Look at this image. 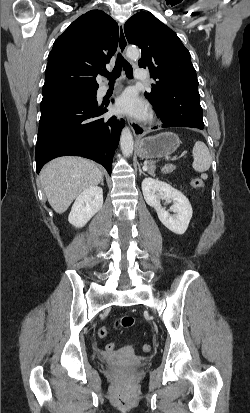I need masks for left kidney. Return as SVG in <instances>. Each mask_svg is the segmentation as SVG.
Masks as SVG:
<instances>
[{
  "instance_id": "obj_1",
  "label": "left kidney",
  "mask_w": 250,
  "mask_h": 413,
  "mask_svg": "<svg viewBox=\"0 0 250 413\" xmlns=\"http://www.w3.org/2000/svg\"><path fill=\"white\" fill-rule=\"evenodd\" d=\"M142 192L146 203L155 209L159 220L166 228L179 235L186 232L192 217V207L182 192L153 178H145L142 181ZM161 199L173 201L170 210L175 213L174 215H170L161 206Z\"/></svg>"
}]
</instances>
